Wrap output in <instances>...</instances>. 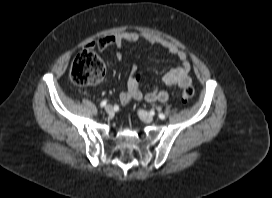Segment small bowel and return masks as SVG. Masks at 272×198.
<instances>
[{
	"label": "small bowel",
	"mask_w": 272,
	"mask_h": 198,
	"mask_svg": "<svg viewBox=\"0 0 272 198\" xmlns=\"http://www.w3.org/2000/svg\"><path fill=\"white\" fill-rule=\"evenodd\" d=\"M139 39H143L150 44H157L165 49L168 53L175 56L180 65L174 69L169 70L162 76V81L167 86L186 88L192 84L189 76L190 65L187 60V56L184 51L179 49L172 42L152 34H143L136 31H125L116 34L108 35L100 40L94 41L89 44V48L104 50L109 46H116L120 48L124 42H135ZM118 60H123L121 53L117 54ZM140 75L137 72V66L133 65L130 74L127 79V89L120 93L119 98L122 105H128L132 100H145L149 103L153 102H166L169 95L164 90H152L146 94H143L140 87Z\"/></svg>",
	"instance_id": "c3829d8e"
}]
</instances>
